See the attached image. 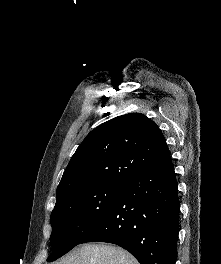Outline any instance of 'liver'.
Returning a JSON list of instances; mask_svg holds the SVG:
<instances>
[{"instance_id": "liver-1", "label": "liver", "mask_w": 221, "mask_h": 264, "mask_svg": "<svg viewBox=\"0 0 221 264\" xmlns=\"http://www.w3.org/2000/svg\"><path fill=\"white\" fill-rule=\"evenodd\" d=\"M54 264H139V262L120 247L86 244Z\"/></svg>"}]
</instances>
